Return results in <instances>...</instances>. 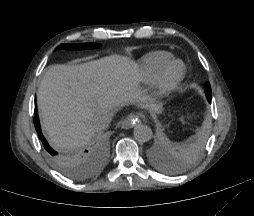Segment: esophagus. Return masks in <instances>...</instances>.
I'll list each match as a JSON object with an SVG mask.
<instances>
[{
  "label": "esophagus",
  "mask_w": 254,
  "mask_h": 216,
  "mask_svg": "<svg viewBox=\"0 0 254 216\" xmlns=\"http://www.w3.org/2000/svg\"><path fill=\"white\" fill-rule=\"evenodd\" d=\"M140 122H141V120H140L139 116H137L135 114H130L120 122V126L123 129H129Z\"/></svg>",
  "instance_id": "obj_1"
}]
</instances>
